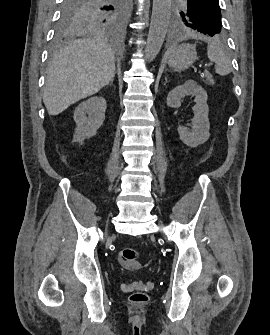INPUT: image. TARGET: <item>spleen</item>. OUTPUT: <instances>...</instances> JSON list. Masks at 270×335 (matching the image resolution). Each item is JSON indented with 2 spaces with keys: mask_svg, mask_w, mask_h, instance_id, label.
I'll return each instance as SVG.
<instances>
[{
  "mask_svg": "<svg viewBox=\"0 0 270 335\" xmlns=\"http://www.w3.org/2000/svg\"><path fill=\"white\" fill-rule=\"evenodd\" d=\"M207 42V56L210 62H215L216 74H219V76H227V74L232 72V66L224 44H221L218 36L208 38Z\"/></svg>",
  "mask_w": 270,
  "mask_h": 335,
  "instance_id": "obj_1",
  "label": "spleen"
}]
</instances>
